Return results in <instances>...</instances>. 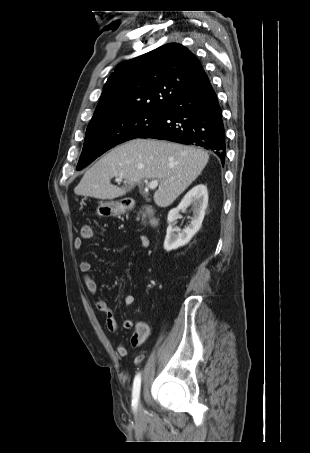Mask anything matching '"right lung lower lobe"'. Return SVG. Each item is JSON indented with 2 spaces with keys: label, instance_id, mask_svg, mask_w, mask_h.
<instances>
[{
  "label": "right lung lower lobe",
  "instance_id": "98d812e1",
  "mask_svg": "<svg viewBox=\"0 0 310 453\" xmlns=\"http://www.w3.org/2000/svg\"><path fill=\"white\" fill-rule=\"evenodd\" d=\"M138 138H154L199 145L221 159L226 155L222 110L205 74L189 91L168 104L162 118Z\"/></svg>",
  "mask_w": 310,
  "mask_h": 453
}]
</instances>
